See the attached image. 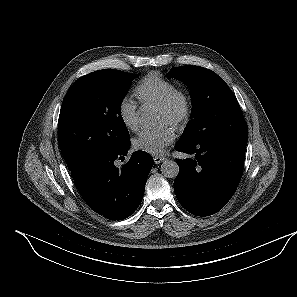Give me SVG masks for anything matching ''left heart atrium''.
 Here are the masks:
<instances>
[{"mask_svg": "<svg viewBox=\"0 0 297 297\" xmlns=\"http://www.w3.org/2000/svg\"><path fill=\"white\" fill-rule=\"evenodd\" d=\"M174 139V129L168 123H163L158 127L142 131L133 140V145L139 151L160 155L167 146L172 144Z\"/></svg>", "mask_w": 297, "mask_h": 297, "instance_id": "obj_1", "label": "left heart atrium"}]
</instances>
